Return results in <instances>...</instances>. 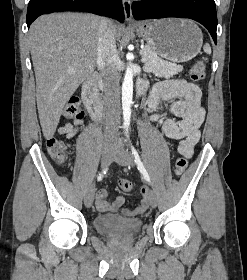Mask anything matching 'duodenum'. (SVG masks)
I'll return each instance as SVG.
<instances>
[{"mask_svg":"<svg viewBox=\"0 0 247 280\" xmlns=\"http://www.w3.org/2000/svg\"><path fill=\"white\" fill-rule=\"evenodd\" d=\"M99 77L97 74L90 76L82 88L83 102L94 120H98L102 112V103L98 88Z\"/></svg>","mask_w":247,"mask_h":280,"instance_id":"410a0bca","label":"duodenum"}]
</instances>
